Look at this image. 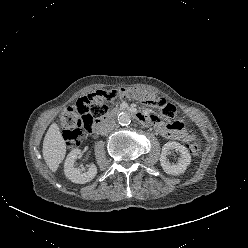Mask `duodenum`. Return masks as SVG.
<instances>
[{"instance_id":"410a0bca","label":"duodenum","mask_w":248,"mask_h":248,"mask_svg":"<svg viewBox=\"0 0 248 248\" xmlns=\"http://www.w3.org/2000/svg\"><path fill=\"white\" fill-rule=\"evenodd\" d=\"M122 113H127L129 115H131L133 118H135L136 120H138L139 122H141L144 125H151L153 124L152 119L145 115L144 113L128 108V107H116L113 110H111L109 113H107L100 121H98L95 126H94V134H97L100 129L102 128L103 124L108 121L109 119L122 114Z\"/></svg>"}]
</instances>
